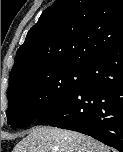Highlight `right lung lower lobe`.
<instances>
[{"mask_svg":"<svg viewBox=\"0 0 123 152\" xmlns=\"http://www.w3.org/2000/svg\"><path fill=\"white\" fill-rule=\"evenodd\" d=\"M35 124L81 132L123 152V43L87 64L78 89Z\"/></svg>","mask_w":123,"mask_h":152,"instance_id":"1","label":"right lung lower lobe"}]
</instances>
